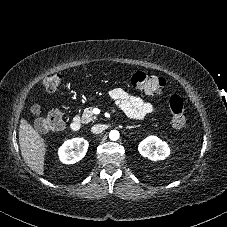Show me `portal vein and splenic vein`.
<instances>
[{
	"label": "portal vein and splenic vein",
	"mask_w": 227,
	"mask_h": 227,
	"mask_svg": "<svg viewBox=\"0 0 227 227\" xmlns=\"http://www.w3.org/2000/svg\"><path fill=\"white\" fill-rule=\"evenodd\" d=\"M100 110L99 109H95V114H99Z\"/></svg>",
	"instance_id": "1"
}]
</instances>
